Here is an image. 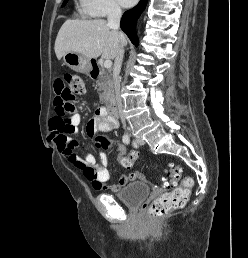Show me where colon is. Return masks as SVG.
I'll list each match as a JSON object with an SVG mask.
<instances>
[{"label": "colon", "mask_w": 248, "mask_h": 258, "mask_svg": "<svg viewBox=\"0 0 248 258\" xmlns=\"http://www.w3.org/2000/svg\"><path fill=\"white\" fill-rule=\"evenodd\" d=\"M69 86V95L61 98L57 106H55V116L52 118V125L58 130L67 133L73 127L71 124L70 114L74 111V107L70 104V100L75 95H82L86 91L85 83L79 76L71 75L66 79ZM109 145V141L102 140ZM118 149V158L124 170H131V167L137 157L136 152L126 153L127 146L120 145L119 141L113 142ZM180 166L176 163H169L165 169V177L162 181V188H171L177 184L180 179ZM86 178L95 176L92 169H86L84 172ZM193 186V180L190 177H185L182 180L181 186L174 189L170 193H162L155 198L148 206V212L152 217L163 216L174 209L181 208L188 200Z\"/></svg>", "instance_id": "5ec220e1"}]
</instances>
